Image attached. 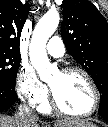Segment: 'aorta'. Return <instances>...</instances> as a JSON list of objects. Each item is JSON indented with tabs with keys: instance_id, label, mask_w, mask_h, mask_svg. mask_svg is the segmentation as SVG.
Segmentation results:
<instances>
[{
	"instance_id": "obj_1",
	"label": "aorta",
	"mask_w": 108,
	"mask_h": 127,
	"mask_svg": "<svg viewBox=\"0 0 108 127\" xmlns=\"http://www.w3.org/2000/svg\"><path fill=\"white\" fill-rule=\"evenodd\" d=\"M60 16L56 11L47 12L37 23L32 34L29 56L32 66L43 81H47L54 70L50 64L46 43L58 27Z\"/></svg>"
}]
</instances>
